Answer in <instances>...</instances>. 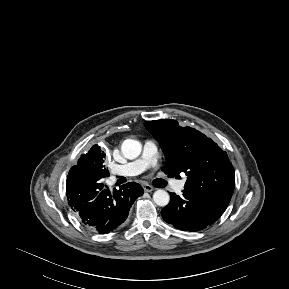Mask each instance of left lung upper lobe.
<instances>
[{"label": "left lung upper lobe", "instance_id": "obj_1", "mask_svg": "<svg viewBox=\"0 0 289 289\" xmlns=\"http://www.w3.org/2000/svg\"><path fill=\"white\" fill-rule=\"evenodd\" d=\"M144 125L165 153L162 170L168 177L184 172L187 175L185 189L229 204L235 187V172L226 152L212 139L194 128L181 127L176 120L147 121Z\"/></svg>", "mask_w": 289, "mask_h": 289}]
</instances>
